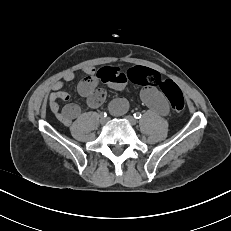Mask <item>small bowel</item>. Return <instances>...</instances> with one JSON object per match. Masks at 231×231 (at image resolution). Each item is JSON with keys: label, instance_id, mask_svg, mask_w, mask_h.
Listing matches in <instances>:
<instances>
[{"label": "small bowel", "instance_id": "1", "mask_svg": "<svg viewBox=\"0 0 231 231\" xmlns=\"http://www.w3.org/2000/svg\"><path fill=\"white\" fill-rule=\"evenodd\" d=\"M75 78L73 72L65 73L59 80L52 84V92L49 95V108L55 117L65 126H70L80 114L81 109L78 105L69 103L62 109L59 101H69V94L63 90L66 82ZM127 73L119 68L104 67L95 69L88 67L85 69V77L78 83L79 94L86 99L87 105L91 108H97L103 104L106 99V92L99 87L106 83L109 87L117 91L126 89L128 83ZM140 97L143 103L152 111L166 115L169 112V105L164 94L154 86H145L140 91ZM128 109V103L125 99L119 98L111 102L110 110L115 115H121Z\"/></svg>", "mask_w": 231, "mask_h": 231}]
</instances>
